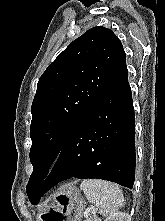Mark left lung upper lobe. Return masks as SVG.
<instances>
[{"label":"left lung upper lobe","instance_id":"left-lung-upper-lobe-1","mask_svg":"<svg viewBox=\"0 0 165 221\" xmlns=\"http://www.w3.org/2000/svg\"><path fill=\"white\" fill-rule=\"evenodd\" d=\"M125 63L121 41L112 30L98 26L70 43L42 74L31 107L30 202L71 132Z\"/></svg>","mask_w":165,"mask_h":221}]
</instances>
